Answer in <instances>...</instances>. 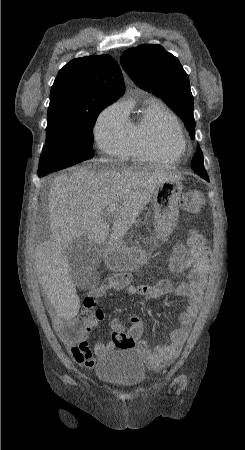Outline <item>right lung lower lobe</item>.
Instances as JSON below:
<instances>
[{
  "mask_svg": "<svg viewBox=\"0 0 245 450\" xmlns=\"http://www.w3.org/2000/svg\"><path fill=\"white\" fill-rule=\"evenodd\" d=\"M45 175H47L46 173H38V176L39 177H43V176H45Z\"/></svg>",
  "mask_w": 245,
  "mask_h": 450,
  "instance_id": "right-lung-lower-lobe-1",
  "label": "right lung lower lobe"
}]
</instances>
